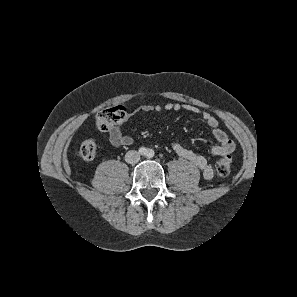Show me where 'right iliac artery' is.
I'll return each instance as SVG.
<instances>
[{"instance_id":"right-iliac-artery-1","label":"right iliac artery","mask_w":297,"mask_h":297,"mask_svg":"<svg viewBox=\"0 0 297 297\" xmlns=\"http://www.w3.org/2000/svg\"><path fill=\"white\" fill-rule=\"evenodd\" d=\"M146 152H147V150H146V148H144V147H141V148L139 149V153H140V154H146Z\"/></svg>"}]
</instances>
